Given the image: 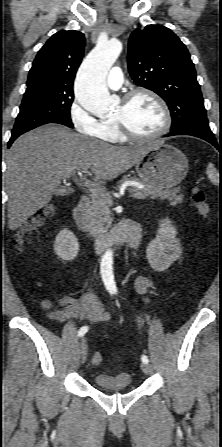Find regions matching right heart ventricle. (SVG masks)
Instances as JSON below:
<instances>
[{"mask_svg":"<svg viewBox=\"0 0 222 447\" xmlns=\"http://www.w3.org/2000/svg\"><path fill=\"white\" fill-rule=\"evenodd\" d=\"M95 136L109 142H121L125 139L111 119H102L99 122V129Z\"/></svg>","mask_w":222,"mask_h":447,"instance_id":"obj_1","label":"right heart ventricle"}]
</instances>
